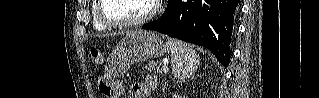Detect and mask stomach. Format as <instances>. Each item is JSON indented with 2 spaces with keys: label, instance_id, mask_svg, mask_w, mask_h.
Wrapping results in <instances>:
<instances>
[{
  "label": "stomach",
  "instance_id": "1",
  "mask_svg": "<svg viewBox=\"0 0 319 98\" xmlns=\"http://www.w3.org/2000/svg\"><path fill=\"white\" fill-rule=\"evenodd\" d=\"M166 52L163 40L156 32L135 31L123 37L112 52L107 68L108 88L106 96L115 98L118 78L131 67L132 64L146 59L159 58Z\"/></svg>",
  "mask_w": 319,
  "mask_h": 98
}]
</instances>
